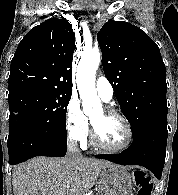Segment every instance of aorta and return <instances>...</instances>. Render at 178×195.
<instances>
[{
	"mask_svg": "<svg viewBox=\"0 0 178 195\" xmlns=\"http://www.w3.org/2000/svg\"><path fill=\"white\" fill-rule=\"evenodd\" d=\"M101 60L100 52L92 50L82 54L76 73V83L82 99L83 111L90 114L92 108L101 106L95 88V74Z\"/></svg>",
	"mask_w": 178,
	"mask_h": 195,
	"instance_id": "762f6f07",
	"label": "aorta"
}]
</instances>
